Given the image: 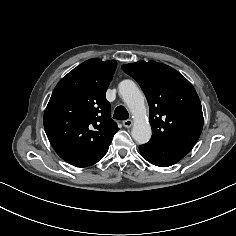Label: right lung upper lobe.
Listing matches in <instances>:
<instances>
[{"label":"right lung upper lobe","instance_id":"obj_1","mask_svg":"<svg viewBox=\"0 0 236 236\" xmlns=\"http://www.w3.org/2000/svg\"><path fill=\"white\" fill-rule=\"evenodd\" d=\"M117 62L89 59L56 85L44 113V128L56 152L93 154L119 130L105 94Z\"/></svg>","mask_w":236,"mask_h":236}]
</instances>
